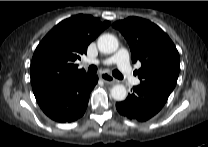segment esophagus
<instances>
[{
	"label": "esophagus",
	"instance_id": "obj_1",
	"mask_svg": "<svg viewBox=\"0 0 208 147\" xmlns=\"http://www.w3.org/2000/svg\"><path fill=\"white\" fill-rule=\"evenodd\" d=\"M100 78L107 84H115L117 80L108 73H102Z\"/></svg>",
	"mask_w": 208,
	"mask_h": 147
}]
</instances>
